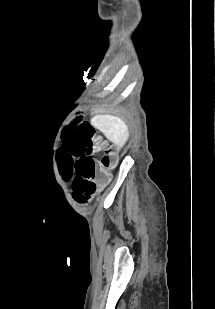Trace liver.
Wrapping results in <instances>:
<instances>
[{
  "label": "liver",
  "instance_id": "liver-1",
  "mask_svg": "<svg viewBox=\"0 0 215 309\" xmlns=\"http://www.w3.org/2000/svg\"><path fill=\"white\" fill-rule=\"evenodd\" d=\"M92 124L99 128L111 142L117 144L118 148H122L129 138L128 126L120 116H111V114L100 116L99 114L92 118Z\"/></svg>",
  "mask_w": 215,
  "mask_h": 309
}]
</instances>
